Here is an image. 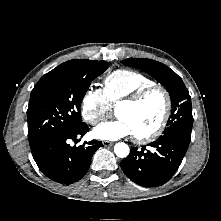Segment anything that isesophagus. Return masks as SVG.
I'll list each match as a JSON object with an SVG mask.
<instances>
[{"label":"esophagus","mask_w":221,"mask_h":221,"mask_svg":"<svg viewBox=\"0 0 221 221\" xmlns=\"http://www.w3.org/2000/svg\"><path fill=\"white\" fill-rule=\"evenodd\" d=\"M102 145L105 147H108V146L114 145V142L104 140V141H102Z\"/></svg>","instance_id":"esophagus-1"}]
</instances>
